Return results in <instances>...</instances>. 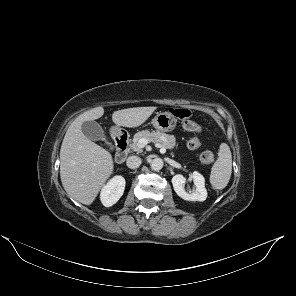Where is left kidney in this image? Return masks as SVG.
<instances>
[{
	"instance_id": "left-kidney-1",
	"label": "left kidney",
	"mask_w": 296,
	"mask_h": 296,
	"mask_svg": "<svg viewBox=\"0 0 296 296\" xmlns=\"http://www.w3.org/2000/svg\"><path fill=\"white\" fill-rule=\"evenodd\" d=\"M191 179L195 185V190L191 193H188L184 189V183L186 182V178L181 175H175L172 178V185L174 191L177 193L179 197L187 201H204L207 198V190L205 188V178L199 172H193Z\"/></svg>"
}]
</instances>
